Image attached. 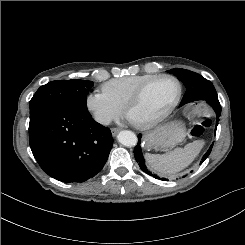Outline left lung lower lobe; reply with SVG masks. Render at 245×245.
<instances>
[{
    "label": "left lung lower lobe",
    "instance_id": "1",
    "mask_svg": "<svg viewBox=\"0 0 245 245\" xmlns=\"http://www.w3.org/2000/svg\"><path fill=\"white\" fill-rule=\"evenodd\" d=\"M214 109L215 113H216V118H217V121H216V128H217V125H218V120H219V117L221 115V106H220V103H219V100L218 99H209V100H206ZM216 128H215V132H216ZM141 137L142 135L139 134L138 135V144L136 145V147L134 148V156H135V159L136 161L139 163V166L140 168L147 174L149 175H153L150 171L147 170L144 162H145V159L142 155V149H141ZM211 149H212V145L210 146V148L208 149V151L206 152V154L202 157V161L201 163L209 156L210 152H211ZM155 178H158L160 179L157 175H154Z\"/></svg>",
    "mask_w": 245,
    "mask_h": 245
}]
</instances>
